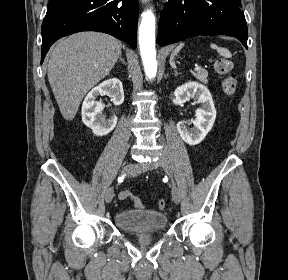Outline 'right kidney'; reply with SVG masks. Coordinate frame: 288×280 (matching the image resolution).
I'll list each match as a JSON object with an SVG mask.
<instances>
[{
    "label": "right kidney",
    "mask_w": 288,
    "mask_h": 280,
    "mask_svg": "<svg viewBox=\"0 0 288 280\" xmlns=\"http://www.w3.org/2000/svg\"><path fill=\"white\" fill-rule=\"evenodd\" d=\"M99 95H108L114 105L119 106L124 101L122 83L117 78L108 79L94 87L85 97L82 104V121L92 129L96 136H104L110 133L117 123V117L102 115L104 106L96 101Z\"/></svg>",
    "instance_id": "obj_1"
}]
</instances>
